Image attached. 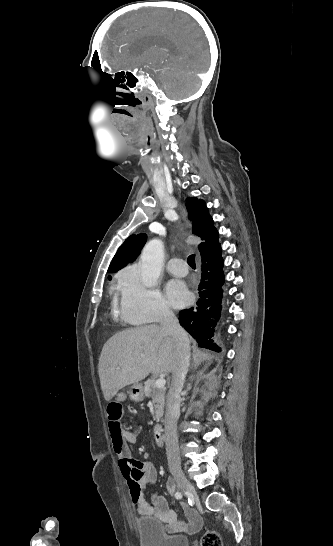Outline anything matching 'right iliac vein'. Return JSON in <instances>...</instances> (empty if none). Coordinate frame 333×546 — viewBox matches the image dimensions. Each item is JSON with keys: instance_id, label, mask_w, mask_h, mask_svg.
I'll return each mask as SVG.
<instances>
[{"instance_id": "1", "label": "right iliac vein", "mask_w": 333, "mask_h": 546, "mask_svg": "<svg viewBox=\"0 0 333 546\" xmlns=\"http://www.w3.org/2000/svg\"><path fill=\"white\" fill-rule=\"evenodd\" d=\"M173 476L176 480L178 487L182 489L184 492L192 493L194 491L192 484L189 482V480L185 477V475L181 471L173 472Z\"/></svg>"}]
</instances>
